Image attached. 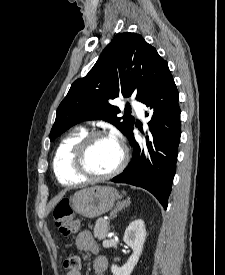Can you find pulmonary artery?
<instances>
[{"label": "pulmonary artery", "mask_w": 225, "mask_h": 275, "mask_svg": "<svg viewBox=\"0 0 225 275\" xmlns=\"http://www.w3.org/2000/svg\"><path fill=\"white\" fill-rule=\"evenodd\" d=\"M130 104L136 109L138 115L140 117L143 116V105L139 102H137L136 100H131Z\"/></svg>", "instance_id": "pulmonary-artery-1"}]
</instances>
